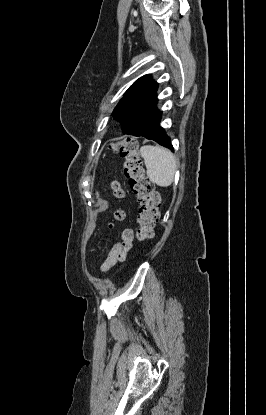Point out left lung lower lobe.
I'll return each mask as SVG.
<instances>
[{
  "mask_svg": "<svg viewBox=\"0 0 266 415\" xmlns=\"http://www.w3.org/2000/svg\"><path fill=\"white\" fill-rule=\"evenodd\" d=\"M139 136H143L147 139H151L156 141L157 143H159L160 145L169 148L173 151V146L171 144V140L168 137V135L166 134L165 130L162 127H159L158 129L151 131V132H147V133H143Z\"/></svg>",
  "mask_w": 266,
  "mask_h": 415,
  "instance_id": "0a47b994",
  "label": "left lung lower lobe"
}]
</instances>
